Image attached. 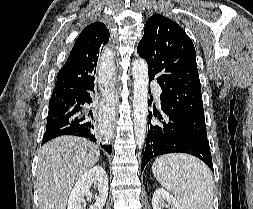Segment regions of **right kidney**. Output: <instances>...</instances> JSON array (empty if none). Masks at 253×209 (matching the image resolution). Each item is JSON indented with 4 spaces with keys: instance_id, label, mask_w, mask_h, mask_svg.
Wrapping results in <instances>:
<instances>
[{
    "instance_id": "1",
    "label": "right kidney",
    "mask_w": 253,
    "mask_h": 209,
    "mask_svg": "<svg viewBox=\"0 0 253 209\" xmlns=\"http://www.w3.org/2000/svg\"><path fill=\"white\" fill-rule=\"evenodd\" d=\"M91 186L98 187V195L95 196V203L89 209H103L108 196V178L100 166H94L78 179L70 193L67 209H86L84 198L92 196Z\"/></svg>"
}]
</instances>
